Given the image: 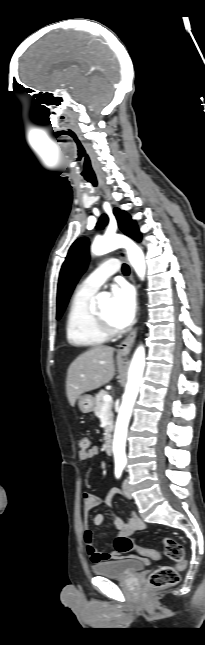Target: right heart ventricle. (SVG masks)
Wrapping results in <instances>:
<instances>
[{
	"label": "right heart ventricle",
	"mask_w": 205,
	"mask_h": 645,
	"mask_svg": "<svg viewBox=\"0 0 205 645\" xmlns=\"http://www.w3.org/2000/svg\"><path fill=\"white\" fill-rule=\"evenodd\" d=\"M94 293L77 290L70 302L66 319V337L74 346L94 347L107 336L97 326L93 315Z\"/></svg>",
	"instance_id": "1"
}]
</instances>
